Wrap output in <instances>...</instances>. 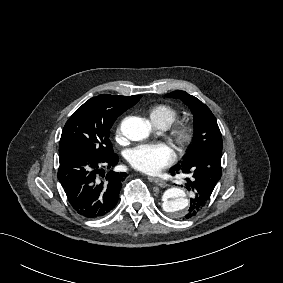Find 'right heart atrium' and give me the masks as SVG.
I'll list each match as a JSON object with an SVG mask.
<instances>
[{
	"label": "right heart atrium",
	"instance_id": "1",
	"mask_svg": "<svg viewBox=\"0 0 283 283\" xmlns=\"http://www.w3.org/2000/svg\"><path fill=\"white\" fill-rule=\"evenodd\" d=\"M117 136H118V137L120 136L119 128L117 129Z\"/></svg>",
	"mask_w": 283,
	"mask_h": 283
}]
</instances>
